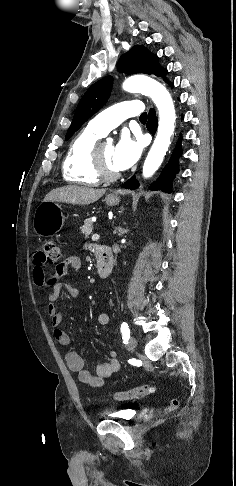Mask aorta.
I'll list each match as a JSON object with an SVG mask.
<instances>
[{
	"label": "aorta",
	"mask_w": 236,
	"mask_h": 486,
	"mask_svg": "<svg viewBox=\"0 0 236 486\" xmlns=\"http://www.w3.org/2000/svg\"><path fill=\"white\" fill-rule=\"evenodd\" d=\"M127 92L148 95L159 111V124L154 143L143 165V176L151 177L160 167L175 129V108L167 89L158 81L146 76H132L124 81Z\"/></svg>",
	"instance_id": "obj_1"
}]
</instances>
